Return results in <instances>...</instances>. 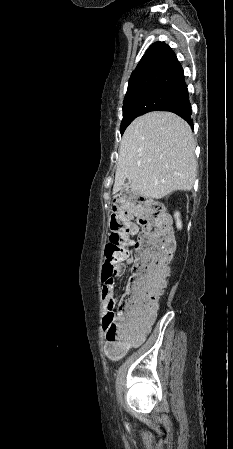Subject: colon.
Listing matches in <instances>:
<instances>
[{
  "mask_svg": "<svg viewBox=\"0 0 233 449\" xmlns=\"http://www.w3.org/2000/svg\"><path fill=\"white\" fill-rule=\"evenodd\" d=\"M114 205L116 214L110 223L104 273L130 255L128 246L134 230L133 218H137L142 231L136 244V261L124 300L117 311L110 309L104 317L106 353L111 358L122 355L134 342L139 325L156 314L174 251L169 217L161 202L136 193H124Z\"/></svg>",
  "mask_w": 233,
  "mask_h": 449,
  "instance_id": "colon-1",
  "label": "colon"
}]
</instances>
